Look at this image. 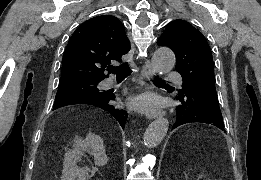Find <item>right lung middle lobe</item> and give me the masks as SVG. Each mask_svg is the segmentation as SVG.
Wrapping results in <instances>:
<instances>
[{
	"label": "right lung middle lobe",
	"instance_id": "obj_1",
	"mask_svg": "<svg viewBox=\"0 0 261 180\" xmlns=\"http://www.w3.org/2000/svg\"><path fill=\"white\" fill-rule=\"evenodd\" d=\"M99 82L100 81L83 79L60 81L54 106H57L66 99L74 96L83 95L87 97H95L100 95L102 92L97 88Z\"/></svg>",
	"mask_w": 261,
	"mask_h": 180
}]
</instances>
